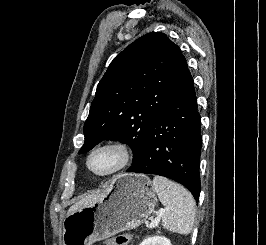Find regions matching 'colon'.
I'll use <instances>...</instances> for the list:
<instances>
[{
    "label": "colon",
    "mask_w": 266,
    "mask_h": 245,
    "mask_svg": "<svg viewBox=\"0 0 266 245\" xmlns=\"http://www.w3.org/2000/svg\"><path fill=\"white\" fill-rule=\"evenodd\" d=\"M129 239H130L129 232L120 233L114 238V245H127Z\"/></svg>",
    "instance_id": "obj_1"
}]
</instances>
